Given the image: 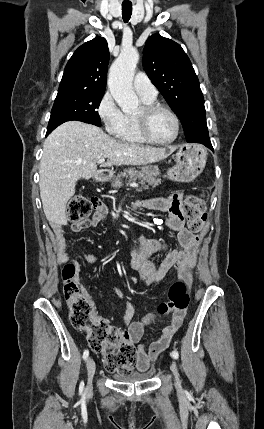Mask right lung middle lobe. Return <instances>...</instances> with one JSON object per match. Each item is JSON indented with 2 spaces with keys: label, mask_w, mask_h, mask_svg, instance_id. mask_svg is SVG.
I'll use <instances>...</instances> for the list:
<instances>
[{
  "label": "right lung middle lobe",
  "mask_w": 264,
  "mask_h": 429,
  "mask_svg": "<svg viewBox=\"0 0 264 429\" xmlns=\"http://www.w3.org/2000/svg\"><path fill=\"white\" fill-rule=\"evenodd\" d=\"M104 93L87 91H58L48 124L47 134L60 124L78 120L101 126V120L96 109Z\"/></svg>",
  "instance_id": "right-lung-middle-lobe-1"
}]
</instances>
